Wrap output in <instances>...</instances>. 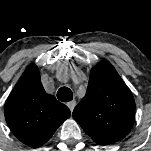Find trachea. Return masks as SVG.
Instances as JSON below:
<instances>
[{
    "label": "trachea",
    "mask_w": 151,
    "mask_h": 151,
    "mask_svg": "<svg viewBox=\"0 0 151 151\" xmlns=\"http://www.w3.org/2000/svg\"><path fill=\"white\" fill-rule=\"evenodd\" d=\"M57 98L62 102H69L73 98V93L69 88L61 87L57 92Z\"/></svg>",
    "instance_id": "1"
}]
</instances>
